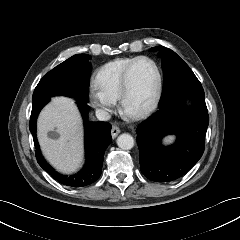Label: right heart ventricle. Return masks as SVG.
Segmentation results:
<instances>
[{"label": "right heart ventricle", "instance_id": "e07e8e85", "mask_svg": "<svg viewBox=\"0 0 240 240\" xmlns=\"http://www.w3.org/2000/svg\"><path fill=\"white\" fill-rule=\"evenodd\" d=\"M136 57H123L114 59L102 65L95 74L96 85L110 98L119 97L122 78L126 68Z\"/></svg>", "mask_w": 240, "mask_h": 240}]
</instances>
